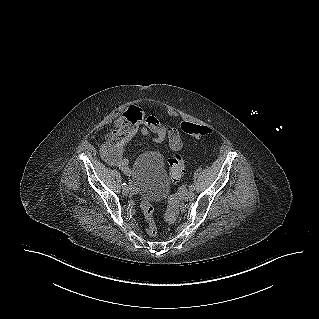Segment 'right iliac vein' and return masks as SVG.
<instances>
[{
  "mask_svg": "<svg viewBox=\"0 0 319 319\" xmlns=\"http://www.w3.org/2000/svg\"><path fill=\"white\" fill-rule=\"evenodd\" d=\"M122 192H123V194H124L125 196H128V195H129V193H130V190H129L128 186L123 187Z\"/></svg>",
  "mask_w": 319,
  "mask_h": 319,
  "instance_id": "right-iliac-vein-1",
  "label": "right iliac vein"
}]
</instances>
